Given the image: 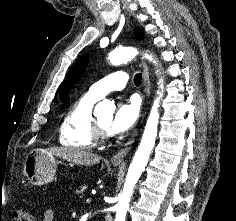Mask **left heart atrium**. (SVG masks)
I'll return each instance as SVG.
<instances>
[{
	"instance_id": "obj_1",
	"label": "left heart atrium",
	"mask_w": 236,
	"mask_h": 221,
	"mask_svg": "<svg viewBox=\"0 0 236 221\" xmlns=\"http://www.w3.org/2000/svg\"><path fill=\"white\" fill-rule=\"evenodd\" d=\"M139 115V104L131 98L118 104L107 130L111 134H119L129 130L136 122Z\"/></svg>"
}]
</instances>
